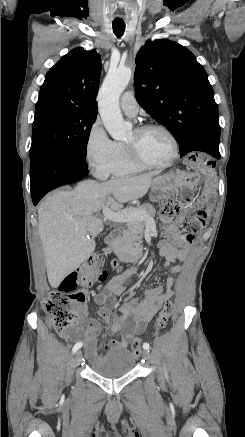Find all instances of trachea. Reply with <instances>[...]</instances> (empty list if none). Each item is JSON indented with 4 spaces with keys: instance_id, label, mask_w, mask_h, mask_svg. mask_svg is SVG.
Masks as SVG:
<instances>
[{
    "instance_id": "3493384b",
    "label": "trachea",
    "mask_w": 245,
    "mask_h": 437,
    "mask_svg": "<svg viewBox=\"0 0 245 437\" xmlns=\"http://www.w3.org/2000/svg\"><path fill=\"white\" fill-rule=\"evenodd\" d=\"M125 31V23L120 21H113V32L117 37H121Z\"/></svg>"
}]
</instances>
